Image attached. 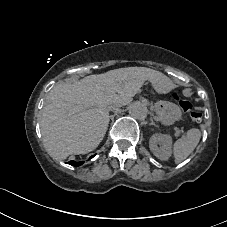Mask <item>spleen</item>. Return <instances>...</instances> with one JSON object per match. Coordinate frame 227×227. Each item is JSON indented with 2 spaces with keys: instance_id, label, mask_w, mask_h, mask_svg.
<instances>
[{
  "instance_id": "spleen-1",
  "label": "spleen",
  "mask_w": 227,
  "mask_h": 227,
  "mask_svg": "<svg viewBox=\"0 0 227 227\" xmlns=\"http://www.w3.org/2000/svg\"><path fill=\"white\" fill-rule=\"evenodd\" d=\"M201 138V131L192 128L186 135L176 140L172 146L173 157L176 164L183 162L197 147Z\"/></svg>"
}]
</instances>
